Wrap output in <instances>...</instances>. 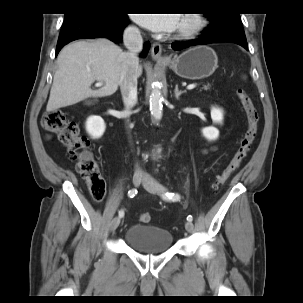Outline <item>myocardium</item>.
<instances>
[{"mask_svg": "<svg viewBox=\"0 0 303 303\" xmlns=\"http://www.w3.org/2000/svg\"><path fill=\"white\" fill-rule=\"evenodd\" d=\"M182 17H188L189 22L178 27L176 35L180 37H190L200 32L206 26V18L201 13H184Z\"/></svg>", "mask_w": 303, "mask_h": 303, "instance_id": "1", "label": "myocardium"}]
</instances>
